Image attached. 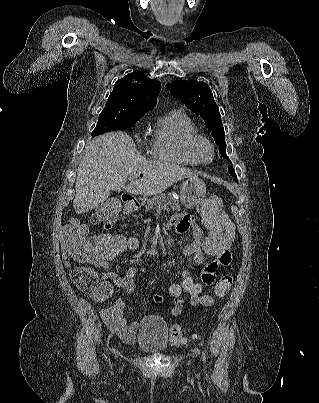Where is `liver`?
Segmentation results:
<instances>
[{"mask_svg": "<svg viewBox=\"0 0 319 403\" xmlns=\"http://www.w3.org/2000/svg\"><path fill=\"white\" fill-rule=\"evenodd\" d=\"M139 173L143 177L127 185L128 177L137 178ZM189 177L197 176L182 166L144 158L126 132H109L86 146L77 170L73 206L76 213L83 214L107 200L111 190L156 195Z\"/></svg>", "mask_w": 319, "mask_h": 403, "instance_id": "1", "label": "liver"}]
</instances>
